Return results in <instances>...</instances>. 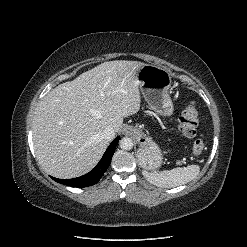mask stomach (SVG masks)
Listing matches in <instances>:
<instances>
[{
    "label": "stomach",
    "mask_w": 247,
    "mask_h": 247,
    "mask_svg": "<svg viewBox=\"0 0 247 247\" xmlns=\"http://www.w3.org/2000/svg\"><path fill=\"white\" fill-rule=\"evenodd\" d=\"M139 88L149 107L157 114L171 116L173 103L169 95L171 88V74L160 66L145 64L137 72ZM138 141L140 148L137 157L140 165L147 171H156L163 162V153L152 140L139 128L127 126Z\"/></svg>",
    "instance_id": "stomach-1"
}]
</instances>
